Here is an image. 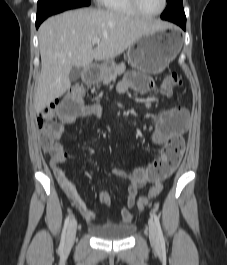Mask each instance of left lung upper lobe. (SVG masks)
Instances as JSON below:
<instances>
[{
    "label": "left lung upper lobe",
    "mask_w": 227,
    "mask_h": 265,
    "mask_svg": "<svg viewBox=\"0 0 227 265\" xmlns=\"http://www.w3.org/2000/svg\"><path fill=\"white\" fill-rule=\"evenodd\" d=\"M161 18L169 21H186L182 0H167V7Z\"/></svg>",
    "instance_id": "1"
}]
</instances>
